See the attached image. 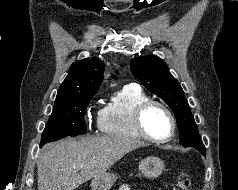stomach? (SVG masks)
<instances>
[{"label": "stomach", "instance_id": "1", "mask_svg": "<svg viewBox=\"0 0 238 190\" xmlns=\"http://www.w3.org/2000/svg\"><path fill=\"white\" fill-rule=\"evenodd\" d=\"M165 164L158 157H147L139 164L142 175L149 179L158 178L164 171ZM117 176L114 173H104L91 181L92 190H110Z\"/></svg>", "mask_w": 238, "mask_h": 190}]
</instances>
